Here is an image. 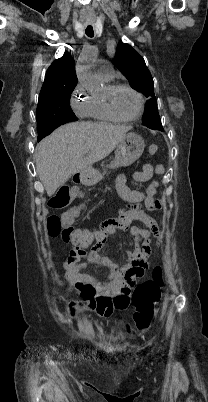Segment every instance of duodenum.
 <instances>
[{
  "mask_svg": "<svg viewBox=\"0 0 208 402\" xmlns=\"http://www.w3.org/2000/svg\"><path fill=\"white\" fill-rule=\"evenodd\" d=\"M87 178V173L85 171H81L74 176V181L76 183H82Z\"/></svg>",
  "mask_w": 208,
  "mask_h": 402,
  "instance_id": "410a0bca",
  "label": "duodenum"
}]
</instances>
